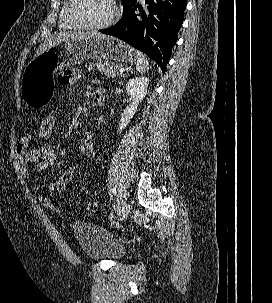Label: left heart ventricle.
Returning a JSON list of instances; mask_svg holds the SVG:
<instances>
[{
	"label": "left heart ventricle",
	"mask_w": 272,
	"mask_h": 303,
	"mask_svg": "<svg viewBox=\"0 0 272 303\" xmlns=\"http://www.w3.org/2000/svg\"><path fill=\"white\" fill-rule=\"evenodd\" d=\"M111 0H75L72 16L85 24L98 25L112 14Z\"/></svg>",
	"instance_id": "obj_1"
}]
</instances>
